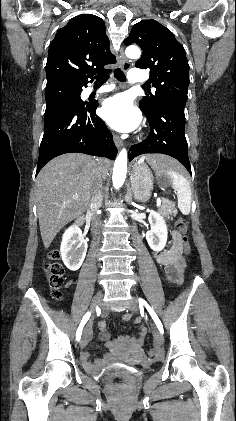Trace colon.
I'll list each match as a JSON object with an SVG mask.
<instances>
[{
  "label": "colon",
  "mask_w": 236,
  "mask_h": 421,
  "mask_svg": "<svg viewBox=\"0 0 236 421\" xmlns=\"http://www.w3.org/2000/svg\"><path fill=\"white\" fill-rule=\"evenodd\" d=\"M177 227L181 234V243L183 244V250L185 254L191 253V247L188 241V225L185 219L179 218L177 221ZM59 252L58 250H52L49 253L48 259L44 263V271L46 272L47 280L52 291L54 299L59 300L62 298L63 286L65 283L64 268L63 265L58 261ZM157 352L155 349H150L148 355L150 357L156 356ZM115 382L118 385L124 384L125 380L122 376H117Z\"/></svg>",
  "instance_id": "5ec220e1"
}]
</instances>
